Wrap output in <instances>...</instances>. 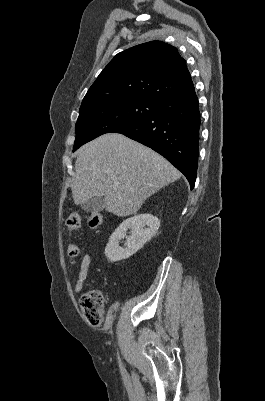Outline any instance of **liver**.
I'll use <instances>...</instances> for the list:
<instances>
[{"label":"liver","mask_w":265,"mask_h":401,"mask_svg":"<svg viewBox=\"0 0 265 401\" xmlns=\"http://www.w3.org/2000/svg\"><path fill=\"white\" fill-rule=\"evenodd\" d=\"M180 176L158 152L124 134L108 132L79 148L71 190L74 205L104 196L108 213L128 217L136 215L151 194Z\"/></svg>","instance_id":"1"}]
</instances>
